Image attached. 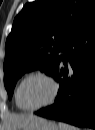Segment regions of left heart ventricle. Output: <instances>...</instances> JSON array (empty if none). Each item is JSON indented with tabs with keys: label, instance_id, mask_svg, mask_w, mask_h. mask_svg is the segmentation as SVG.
I'll use <instances>...</instances> for the list:
<instances>
[{
	"label": "left heart ventricle",
	"instance_id": "1",
	"mask_svg": "<svg viewBox=\"0 0 95 130\" xmlns=\"http://www.w3.org/2000/svg\"><path fill=\"white\" fill-rule=\"evenodd\" d=\"M50 83L41 77H33L27 80L20 90V102L28 108L37 107L45 103L51 96Z\"/></svg>",
	"mask_w": 95,
	"mask_h": 130
}]
</instances>
